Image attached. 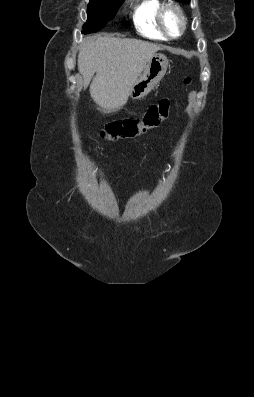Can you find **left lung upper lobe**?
<instances>
[{"label":"left lung upper lobe","instance_id":"obj_1","mask_svg":"<svg viewBox=\"0 0 254 397\" xmlns=\"http://www.w3.org/2000/svg\"><path fill=\"white\" fill-rule=\"evenodd\" d=\"M176 1H178V2H181V3H184V4H186V3H189V2H190V0H176Z\"/></svg>","mask_w":254,"mask_h":397}]
</instances>
